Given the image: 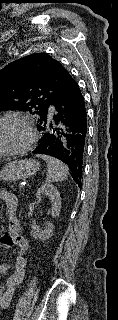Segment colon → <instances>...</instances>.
<instances>
[{
	"instance_id": "1",
	"label": "colon",
	"mask_w": 118,
	"mask_h": 320,
	"mask_svg": "<svg viewBox=\"0 0 118 320\" xmlns=\"http://www.w3.org/2000/svg\"><path fill=\"white\" fill-rule=\"evenodd\" d=\"M2 247L9 248L12 246H25L23 238L18 234V227L13 226L10 232L2 237Z\"/></svg>"
}]
</instances>
